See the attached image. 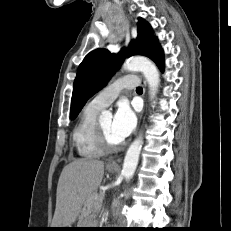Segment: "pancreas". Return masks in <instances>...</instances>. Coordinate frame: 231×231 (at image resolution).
<instances>
[{
  "label": "pancreas",
  "mask_w": 231,
  "mask_h": 231,
  "mask_svg": "<svg viewBox=\"0 0 231 231\" xmlns=\"http://www.w3.org/2000/svg\"><path fill=\"white\" fill-rule=\"evenodd\" d=\"M103 198H104L103 192H99V193L94 192L93 194L90 195L87 204L89 207L100 205L102 203Z\"/></svg>",
  "instance_id": "cf45deb5"
}]
</instances>
